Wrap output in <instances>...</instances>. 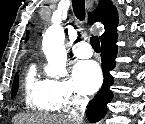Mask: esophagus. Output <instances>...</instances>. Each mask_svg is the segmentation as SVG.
<instances>
[{"instance_id":"obj_1","label":"esophagus","mask_w":145,"mask_h":124,"mask_svg":"<svg viewBox=\"0 0 145 124\" xmlns=\"http://www.w3.org/2000/svg\"><path fill=\"white\" fill-rule=\"evenodd\" d=\"M86 3H87V4H90V0H86Z\"/></svg>"}]
</instances>
